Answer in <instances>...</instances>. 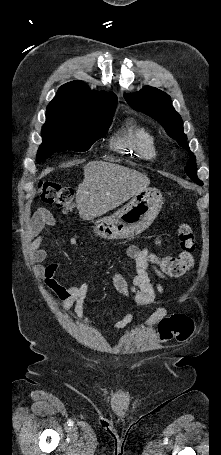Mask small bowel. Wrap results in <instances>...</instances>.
Segmentation results:
<instances>
[{"label":"small bowel","mask_w":221,"mask_h":455,"mask_svg":"<svg viewBox=\"0 0 221 455\" xmlns=\"http://www.w3.org/2000/svg\"><path fill=\"white\" fill-rule=\"evenodd\" d=\"M52 214L42 209L35 213L29 226V248L32 258L37 262H42L47 259L48 251L40 248L43 240L42 230L46 226L54 225ZM162 242L161 234H158L155 239V244L160 246ZM69 243L73 246H78L81 241L77 237H71ZM125 255L134 262V276L129 284L123 276L115 272L113 282L116 289L125 297H127L134 308H139L155 301V290L148 275V267L151 265L159 278L165 280L166 277L159 268L150 263L151 252L148 248H140L131 245L126 248ZM59 271L57 263H50L42 269L43 277L46 285L56 294L59 303L65 312L74 311L77 317L84 322L95 325L96 323L85 313L84 300L90 291V283L83 282L78 285L66 286L61 284L56 275ZM157 290L164 293L162 284L157 285ZM167 315V309L164 307L157 308L144 322V327L150 328L155 326ZM134 318V311L128 312L121 320L112 325L113 330H121L125 328Z\"/></svg>","instance_id":"obj_1"}]
</instances>
